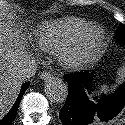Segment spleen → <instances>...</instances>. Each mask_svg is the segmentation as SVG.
I'll list each match as a JSON object with an SVG mask.
<instances>
[{"label": "spleen", "instance_id": "obj_1", "mask_svg": "<svg viewBox=\"0 0 125 125\" xmlns=\"http://www.w3.org/2000/svg\"><path fill=\"white\" fill-rule=\"evenodd\" d=\"M118 75H119V77H118L117 81L122 82L125 78V67H121L118 70ZM100 91L104 92V93H107L109 91V87L107 85H102L101 88H100Z\"/></svg>", "mask_w": 125, "mask_h": 125}]
</instances>
